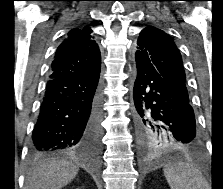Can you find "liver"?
I'll use <instances>...</instances> for the list:
<instances>
[{"instance_id": "6515ba94", "label": "liver", "mask_w": 223, "mask_h": 189, "mask_svg": "<svg viewBox=\"0 0 223 189\" xmlns=\"http://www.w3.org/2000/svg\"><path fill=\"white\" fill-rule=\"evenodd\" d=\"M79 167L67 160H52L29 170L24 189H61L77 175Z\"/></svg>"}]
</instances>
